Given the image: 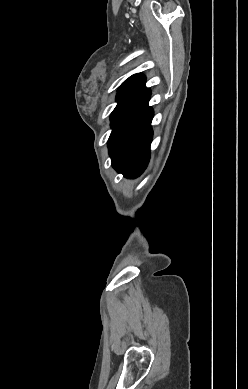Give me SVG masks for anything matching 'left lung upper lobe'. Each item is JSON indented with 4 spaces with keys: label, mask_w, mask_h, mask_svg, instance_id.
<instances>
[{
    "label": "left lung upper lobe",
    "mask_w": 248,
    "mask_h": 389,
    "mask_svg": "<svg viewBox=\"0 0 248 389\" xmlns=\"http://www.w3.org/2000/svg\"><path fill=\"white\" fill-rule=\"evenodd\" d=\"M142 74L141 73H138V74H135V75H132L131 77H129L127 80H125L121 86L119 87L118 89V94L123 91L125 88H127L132 82H134L138 77H140Z\"/></svg>",
    "instance_id": "5c2ea615"
}]
</instances>
